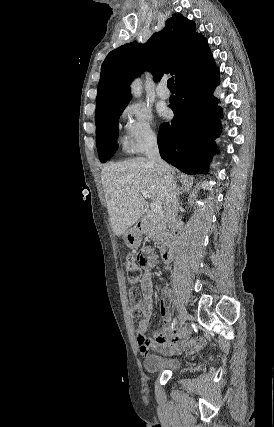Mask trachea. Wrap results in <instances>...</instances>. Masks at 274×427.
<instances>
[{"mask_svg": "<svg viewBox=\"0 0 274 427\" xmlns=\"http://www.w3.org/2000/svg\"><path fill=\"white\" fill-rule=\"evenodd\" d=\"M168 88H174V77H171L167 80Z\"/></svg>", "mask_w": 274, "mask_h": 427, "instance_id": "trachea-1", "label": "trachea"}]
</instances>
